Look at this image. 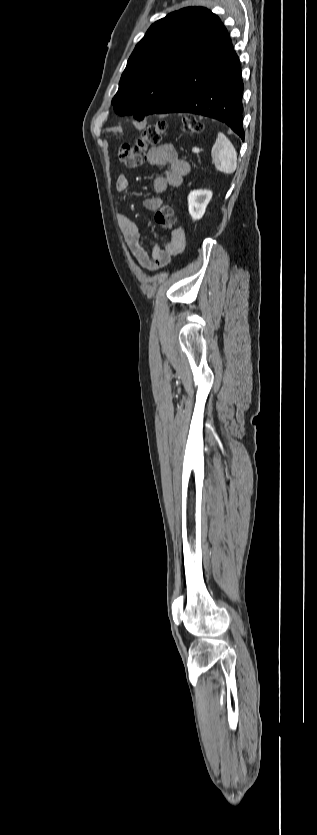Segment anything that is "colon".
<instances>
[{
  "label": "colon",
  "instance_id": "1",
  "mask_svg": "<svg viewBox=\"0 0 317 835\" xmlns=\"http://www.w3.org/2000/svg\"><path fill=\"white\" fill-rule=\"evenodd\" d=\"M182 129L189 134L201 131V123L193 116H185L182 119ZM166 130V123L158 122L146 127L137 142L133 145L122 144L118 150L120 161L127 167L135 168L142 165L147 158V150L150 146L156 145L162 139ZM155 221L164 230H172L176 225V216L173 208L165 204L155 214Z\"/></svg>",
  "mask_w": 317,
  "mask_h": 835
}]
</instances>
